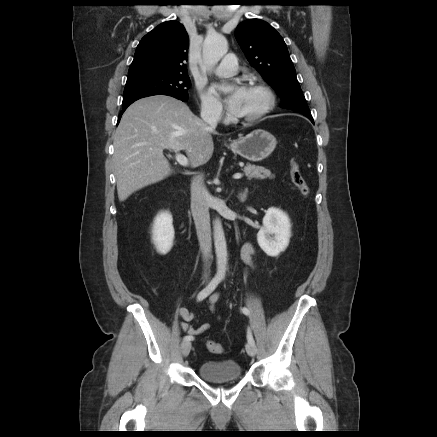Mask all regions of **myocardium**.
Instances as JSON below:
<instances>
[{
  "instance_id": "f54148a6",
  "label": "myocardium",
  "mask_w": 437,
  "mask_h": 437,
  "mask_svg": "<svg viewBox=\"0 0 437 437\" xmlns=\"http://www.w3.org/2000/svg\"><path fill=\"white\" fill-rule=\"evenodd\" d=\"M247 88L260 90L266 98L264 106L255 114L250 116H236L233 120L238 122L253 123L266 116L275 105V95L267 85L259 82L250 83Z\"/></svg>"
}]
</instances>
